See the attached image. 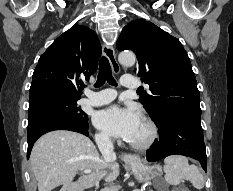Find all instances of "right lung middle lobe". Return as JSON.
<instances>
[{
	"label": "right lung middle lobe",
	"instance_id": "dd1d6c3e",
	"mask_svg": "<svg viewBox=\"0 0 233 191\" xmlns=\"http://www.w3.org/2000/svg\"><path fill=\"white\" fill-rule=\"evenodd\" d=\"M79 99L59 93H43L37 95L36 97L30 98L28 120L33 119L41 113H52L87 123V115L77 106Z\"/></svg>",
	"mask_w": 233,
	"mask_h": 191
}]
</instances>
